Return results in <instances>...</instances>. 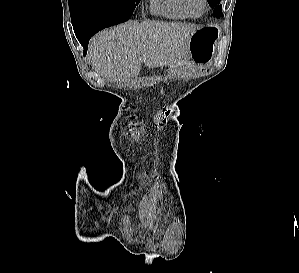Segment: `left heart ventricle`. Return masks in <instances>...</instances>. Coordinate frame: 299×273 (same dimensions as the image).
<instances>
[{
  "mask_svg": "<svg viewBox=\"0 0 299 273\" xmlns=\"http://www.w3.org/2000/svg\"><path fill=\"white\" fill-rule=\"evenodd\" d=\"M188 6L190 11L195 15H198L203 11L202 0H188Z\"/></svg>",
  "mask_w": 299,
  "mask_h": 273,
  "instance_id": "obj_1",
  "label": "left heart ventricle"
}]
</instances>
